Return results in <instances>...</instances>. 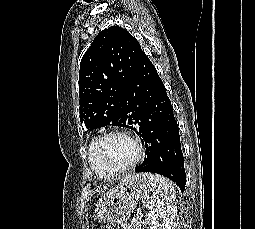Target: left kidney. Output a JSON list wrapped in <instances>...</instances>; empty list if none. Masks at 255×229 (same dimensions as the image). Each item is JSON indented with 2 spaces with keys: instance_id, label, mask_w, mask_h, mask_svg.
Returning a JSON list of instances; mask_svg holds the SVG:
<instances>
[{
  "instance_id": "5707ae66",
  "label": "left kidney",
  "mask_w": 255,
  "mask_h": 229,
  "mask_svg": "<svg viewBox=\"0 0 255 229\" xmlns=\"http://www.w3.org/2000/svg\"><path fill=\"white\" fill-rule=\"evenodd\" d=\"M176 212L177 207L174 205L153 209L147 216V224L153 226L154 229H171ZM158 217L162 220L160 223L157 220Z\"/></svg>"
}]
</instances>
